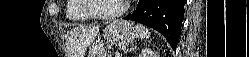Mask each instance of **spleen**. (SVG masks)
<instances>
[{"mask_svg": "<svg viewBox=\"0 0 249 57\" xmlns=\"http://www.w3.org/2000/svg\"><path fill=\"white\" fill-rule=\"evenodd\" d=\"M136 28H137V32H138V38L145 39V38L150 37V32L148 31V29L145 26H143L141 24H137Z\"/></svg>", "mask_w": 249, "mask_h": 57, "instance_id": "3e777b00", "label": "spleen"}]
</instances>
